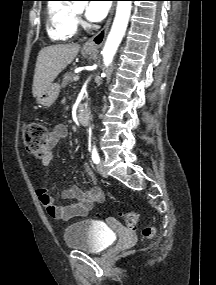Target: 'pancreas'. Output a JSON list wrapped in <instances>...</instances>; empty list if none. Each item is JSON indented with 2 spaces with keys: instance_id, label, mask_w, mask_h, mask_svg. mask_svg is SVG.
I'll return each instance as SVG.
<instances>
[{
  "instance_id": "pancreas-1",
  "label": "pancreas",
  "mask_w": 216,
  "mask_h": 285,
  "mask_svg": "<svg viewBox=\"0 0 216 285\" xmlns=\"http://www.w3.org/2000/svg\"><path fill=\"white\" fill-rule=\"evenodd\" d=\"M75 76L76 75L71 71L65 73L63 76L62 87H66L67 85L72 83L74 81Z\"/></svg>"
}]
</instances>
